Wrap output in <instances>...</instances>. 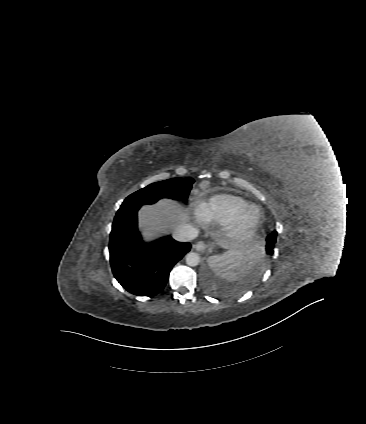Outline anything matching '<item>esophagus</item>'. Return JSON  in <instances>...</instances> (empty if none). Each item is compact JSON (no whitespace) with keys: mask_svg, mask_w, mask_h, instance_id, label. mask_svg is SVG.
<instances>
[{"mask_svg":"<svg viewBox=\"0 0 366 424\" xmlns=\"http://www.w3.org/2000/svg\"><path fill=\"white\" fill-rule=\"evenodd\" d=\"M194 248L199 252H203L206 250L207 245L203 241H199L196 244H194Z\"/></svg>","mask_w":366,"mask_h":424,"instance_id":"esophagus-1","label":"esophagus"}]
</instances>
